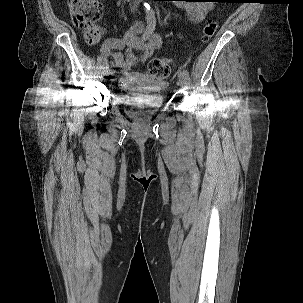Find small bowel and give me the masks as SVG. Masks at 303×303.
I'll return each instance as SVG.
<instances>
[{"mask_svg": "<svg viewBox=\"0 0 303 303\" xmlns=\"http://www.w3.org/2000/svg\"><path fill=\"white\" fill-rule=\"evenodd\" d=\"M187 3L181 4L189 19L193 22L203 21L210 9V5L202 3L203 0H182ZM194 2V3H190ZM147 32V39L139 37V33ZM143 33V34H144ZM161 37L147 26L136 23L129 29L122 38H109L101 46V53L104 57H113L114 63L123 71L122 83L127 85H139L146 89H160L164 82L155 78L149 72L135 71L134 67L139 62L150 59L155 50L161 46ZM125 50V56L122 51ZM132 50H136L134 53Z\"/></svg>", "mask_w": 303, "mask_h": 303, "instance_id": "small-bowel-1", "label": "small bowel"}]
</instances>
